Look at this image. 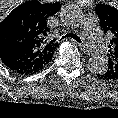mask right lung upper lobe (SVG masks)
I'll use <instances>...</instances> for the list:
<instances>
[{
	"mask_svg": "<svg viewBox=\"0 0 118 118\" xmlns=\"http://www.w3.org/2000/svg\"><path fill=\"white\" fill-rule=\"evenodd\" d=\"M60 7L59 2L28 1L0 23V58L9 69L28 75L50 63L58 44L48 42L47 18Z\"/></svg>",
	"mask_w": 118,
	"mask_h": 118,
	"instance_id": "cb5924a9",
	"label": "right lung upper lobe"
}]
</instances>
